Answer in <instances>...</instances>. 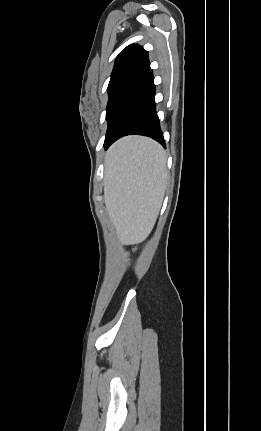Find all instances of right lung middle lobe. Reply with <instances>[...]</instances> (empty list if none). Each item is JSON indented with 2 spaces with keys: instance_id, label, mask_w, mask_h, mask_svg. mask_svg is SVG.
<instances>
[{
  "instance_id": "right-lung-middle-lobe-1",
  "label": "right lung middle lobe",
  "mask_w": 261,
  "mask_h": 431,
  "mask_svg": "<svg viewBox=\"0 0 261 431\" xmlns=\"http://www.w3.org/2000/svg\"><path fill=\"white\" fill-rule=\"evenodd\" d=\"M140 73L138 72H131L124 74L114 80H110L108 85V94H109V100L106 108V119L108 121V128L105 138V143L108 141L110 134L109 129L111 127L115 111L117 107L119 106L120 101L132 85V83L135 81V79L138 77Z\"/></svg>"
}]
</instances>
